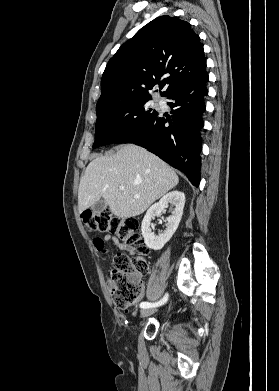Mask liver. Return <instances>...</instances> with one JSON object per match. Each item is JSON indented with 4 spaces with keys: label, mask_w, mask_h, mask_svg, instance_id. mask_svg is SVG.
Here are the masks:
<instances>
[{
    "label": "liver",
    "mask_w": 279,
    "mask_h": 391,
    "mask_svg": "<svg viewBox=\"0 0 279 391\" xmlns=\"http://www.w3.org/2000/svg\"><path fill=\"white\" fill-rule=\"evenodd\" d=\"M178 183L177 174L163 160L126 144L88 164L79 184L78 209L81 213L102 198L115 216L135 217Z\"/></svg>",
    "instance_id": "6515ba94"
}]
</instances>
